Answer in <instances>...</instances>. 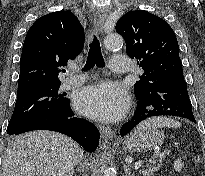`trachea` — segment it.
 <instances>
[{
	"label": "trachea",
	"mask_w": 205,
	"mask_h": 176,
	"mask_svg": "<svg viewBox=\"0 0 205 176\" xmlns=\"http://www.w3.org/2000/svg\"><path fill=\"white\" fill-rule=\"evenodd\" d=\"M103 67L105 65L104 58L101 54V47L98 39L93 38L89 45V54L84 66V70L91 69L94 66Z\"/></svg>",
	"instance_id": "trachea-1"
}]
</instances>
